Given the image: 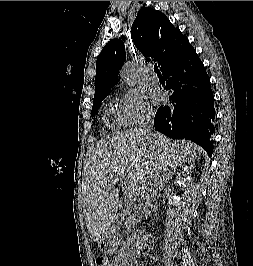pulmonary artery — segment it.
Wrapping results in <instances>:
<instances>
[{
	"instance_id": "pulmonary-artery-1",
	"label": "pulmonary artery",
	"mask_w": 253,
	"mask_h": 266,
	"mask_svg": "<svg viewBox=\"0 0 253 266\" xmlns=\"http://www.w3.org/2000/svg\"><path fill=\"white\" fill-rule=\"evenodd\" d=\"M146 72H147L148 79L151 82L157 83L159 81L157 75L154 73L153 68L151 66H148L146 68Z\"/></svg>"
}]
</instances>
